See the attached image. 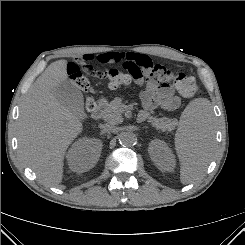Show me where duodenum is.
<instances>
[{
  "label": "duodenum",
  "mask_w": 245,
  "mask_h": 245,
  "mask_svg": "<svg viewBox=\"0 0 245 245\" xmlns=\"http://www.w3.org/2000/svg\"><path fill=\"white\" fill-rule=\"evenodd\" d=\"M105 106H106V103L103 99L97 101L91 112L92 118L100 119L103 115Z\"/></svg>",
  "instance_id": "410a0bca"
}]
</instances>
